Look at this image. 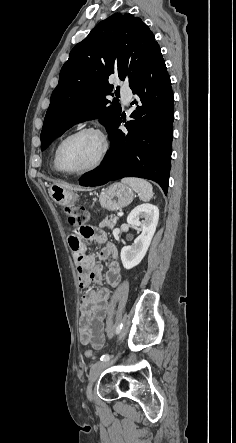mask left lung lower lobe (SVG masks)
<instances>
[{
	"label": "left lung lower lobe",
	"instance_id": "0a47b994",
	"mask_svg": "<svg viewBox=\"0 0 236 443\" xmlns=\"http://www.w3.org/2000/svg\"><path fill=\"white\" fill-rule=\"evenodd\" d=\"M141 103L131 113L134 120L118 129L122 116L108 131L111 146L103 165L81 177V186H99L123 177H140L168 190L173 137V92L159 45H155L138 77L130 84Z\"/></svg>",
	"mask_w": 236,
	"mask_h": 443
}]
</instances>
